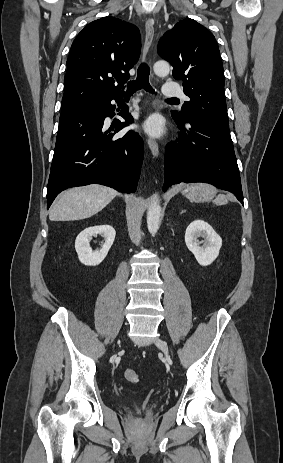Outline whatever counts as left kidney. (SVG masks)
<instances>
[{
  "instance_id": "1",
  "label": "left kidney",
  "mask_w": 283,
  "mask_h": 463,
  "mask_svg": "<svg viewBox=\"0 0 283 463\" xmlns=\"http://www.w3.org/2000/svg\"><path fill=\"white\" fill-rule=\"evenodd\" d=\"M200 236L205 239L203 246H200L198 241ZM185 243L197 262L201 266H208L218 257L222 238L207 222L194 220L186 229Z\"/></svg>"
}]
</instances>
